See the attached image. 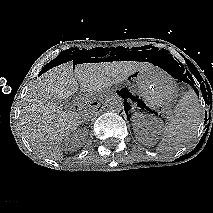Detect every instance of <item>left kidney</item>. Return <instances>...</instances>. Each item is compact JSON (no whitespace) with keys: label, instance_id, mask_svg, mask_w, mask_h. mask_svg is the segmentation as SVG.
<instances>
[{"label":"left kidney","instance_id":"obj_1","mask_svg":"<svg viewBox=\"0 0 213 213\" xmlns=\"http://www.w3.org/2000/svg\"><path fill=\"white\" fill-rule=\"evenodd\" d=\"M133 129L140 141L151 142L161 130V122L152 115L137 113L133 116Z\"/></svg>","mask_w":213,"mask_h":213}]
</instances>
